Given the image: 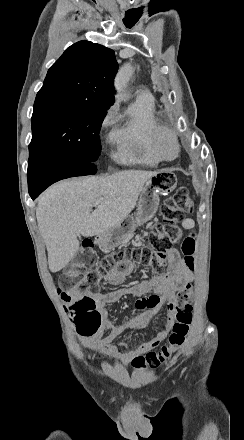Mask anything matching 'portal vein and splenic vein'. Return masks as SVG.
<instances>
[{"instance_id":"obj_1","label":"portal vein and splenic vein","mask_w":244,"mask_h":440,"mask_svg":"<svg viewBox=\"0 0 244 440\" xmlns=\"http://www.w3.org/2000/svg\"><path fill=\"white\" fill-rule=\"evenodd\" d=\"M101 200H97V202H95L94 206H98V204H100Z\"/></svg>"}]
</instances>
